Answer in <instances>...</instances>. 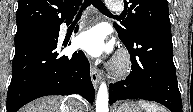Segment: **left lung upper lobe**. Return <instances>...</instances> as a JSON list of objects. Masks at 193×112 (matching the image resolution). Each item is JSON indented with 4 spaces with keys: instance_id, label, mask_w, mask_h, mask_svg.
<instances>
[{
    "instance_id": "obj_1",
    "label": "left lung upper lobe",
    "mask_w": 193,
    "mask_h": 112,
    "mask_svg": "<svg viewBox=\"0 0 193 112\" xmlns=\"http://www.w3.org/2000/svg\"><path fill=\"white\" fill-rule=\"evenodd\" d=\"M123 21L114 26L119 36L132 42L141 32L171 26L167 0H124Z\"/></svg>"
}]
</instances>
